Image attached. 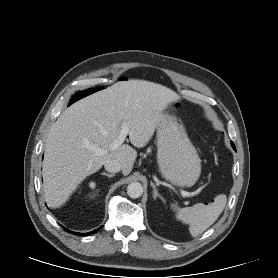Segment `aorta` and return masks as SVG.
<instances>
[{"mask_svg": "<svg viewBox=\"0 0 278 278\" xmlns=\"http://www.w3.org/2000/svg\"><path fill=\"white\" fill-rule=\"evenodd\" d=\"M127 194L133 199L139 198L143 194V186L139 182H132L127 186Z\"/></svg>", "mask_w": 278, "mask_h": 278, "instance_id": "1", "label": "aorta"}]
</instances>
